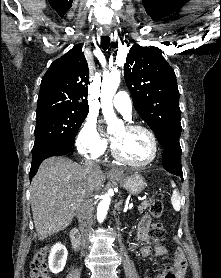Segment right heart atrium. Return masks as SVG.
Segmentation results:
<instances>
[{"label": "right heart atrium", "instance_id": "1", "mask_svg": "<svg viewBox=\"0 0 221 278\" xmlns=\"http://www.w3.org/2000/svg\"><path fill=\"white\" fill-rule=\"evenodd\" d=\"M78 151L86 157L98 158L107 148L106 140L101 136L97 121L89 116L82 125L76 140Z\"/></svg>", "mask_w": 221, "mask_h": 278}]
</instances>
